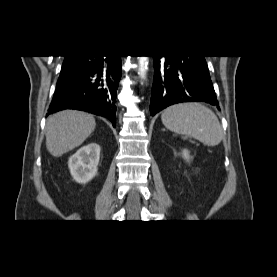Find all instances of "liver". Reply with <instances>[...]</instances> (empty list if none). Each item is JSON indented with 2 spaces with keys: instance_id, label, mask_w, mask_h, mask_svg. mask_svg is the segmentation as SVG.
Instances as JSON below:
<instances>
[{
  "instance_id": "6515ba94",
  "label": "liver",
  "mask_w": 277,
  "mask_h": 277,
  "mask_svg": "<svg viewBox=\"0 0 277 277\" xmlns=\"http://www.w3.org/2000/svg\"><path fill=\"white\" fill-rule=\"evenodd\" d=\"M96 127L88 113L65 110L51 115L46 124V147L54 157L80 146Z\"/></svg>"
}]
</instances>
